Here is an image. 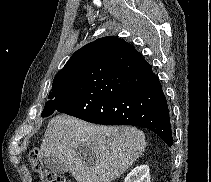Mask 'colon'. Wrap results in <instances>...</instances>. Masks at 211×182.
Wrapping results in <instances>:
<instances>
[{
	"label": "colon",
	"mask_w": 211,
	"mask_h": 182,
	"mask_svg": "<svg viewBox=\"0 0 211 182\" xmlns=\"http://www.w3.org/2000/svg\"><path fill=\"white\" fill-rule=\"evenodd\" d=\"M28 157L33 169L39 174L41 182H68L64 177L45 168L39 149L31 150Z\"/></svg>",
	"instance_id": "1"
}]
</instances>
